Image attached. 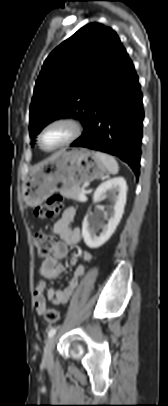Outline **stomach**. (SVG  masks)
Wrapping results in <instances>:
<instances>
[{"label":"stomach","mask_w":168,"mask_h":406,"mask_svg":"<svg viewBox=\"0 0 168 406\" xmlns=\"http://www.w3.org/2000/svg\"><path fill=\"white\" fill-rule=\"evenodd\" d=\"M107 172L96 152L86 148L62 149L39 166L24 182L23 199L28 206L41 205L56 191L80 187Z\"/></svg>","instance_id":"stomach-1"}]
</instances>
